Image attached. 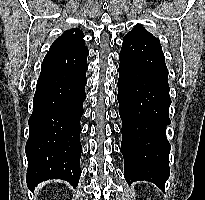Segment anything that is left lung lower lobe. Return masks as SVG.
I'll list each match as a JSON object with an SVG mask.
<instances>
[{
    "label": "left lung lower lobe",
    "instance_id": "left-lung-lower-lobe-1",
    "mask_svg": "<svg viewBox=\"0 0 205 200\" xmlns=\"http://www.w3.org/2000/svg\"><path fill=\"white\" fill-rule=\"evenodd\" d=\"M118 102L121 153L128 184L146 180L164 191L169 177L168 70L157 38L123 39L119 54Z\"/></svg>",
    "mask_w": 205,
    "mask_h": 200
}]
</instances>
